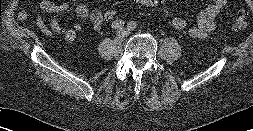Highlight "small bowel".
Returning <instances> with one entry per match:
<instances>
[{"instance_id":"c3829d8e","label":"small bowel","mask_w":253,"mask_h":131,"mask_svg":"<svg viewBox=\"0 0 253 131\" xmlns=\"http://www.w3.org/2000/svg\"><path fill=\"white\" fill-rule=\"evenodd\" d=\"M228 0H213L203 11L198 15L197 21L189 25L187 21L179 16L172 19V25L177 30L188 29V33L194 38H205L209 36L216 28V18L220 14L223 7ZM69 7L67 2L55 3L51 0H42L40 8L47 13H57L66 10ZM76 14L81 18H88L94 30H100L104 23L103 11L99 9L90 10L86 5H78L76 7ZM20 21L26 22L28 15L22 11L18 14ZM38 24L47 36L52 33L62 35L67 41H74L77 33L82 29L79 23H74L71 28H66L57 20L53 19L49 24H46L42 19Z\"/></svg>"}]
</instances>
